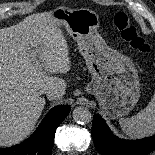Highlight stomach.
Instances as JSON below:
<instances>
[{
	"label": "stomach",
	"mask_w": 155,
	"mask_h": 155,
	"mask_svg": "<svg viewBox=\"0 0 155 155\" xmlns=\"http://www.w3.org/2000/svg\"><path fill=\"white\" fill-rule=\"evenodd\" d=\"M60 22L77 42L92 76L85 92L95 95L112 118L127 115L138 102L141 89L132 60L107 45L97 31L98 20L94 24L92 16L73 13Z\"/></svg>",
	"instance_id": "stomach-1"
}]
</instances>
